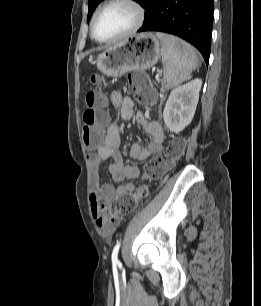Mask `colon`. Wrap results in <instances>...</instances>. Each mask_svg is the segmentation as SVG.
I'll return each instance as SVG.
<instances>
[{"label":"colon","mask_w":261,"mask_h":306,"mask_svg":"<svg viewBox=\"0 0 261 306\" xmlns=\"http://www.w3.org/2000/svg\"><path fill=\"white\" fill-rule=\"evenodd\" d=\"M101 78L97 74L90 76L93 84H98ZM129 88L134 92L139 103H151L155 97L154 90L148 78L141 72L129 75ZM103 103L102 92L98 88L91 89L86 94V109L83 114V138L87 149H96L103 139L105 115L100 110ZM185 141L173 138L167 147L149 160L143 170L147 181L159 180L177 161L184 151ZM148 196V187L140 185L136 191L121 194L110 207V223L118 224L124 217L132 213L138 203Z\"/></svg>","instance_id":"5ec220e1"}]
</instances>
